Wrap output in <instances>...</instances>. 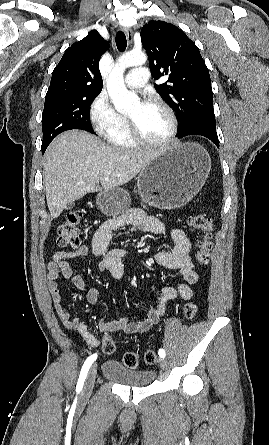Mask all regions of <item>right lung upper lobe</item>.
<instances>
[{
	"instance_id": "cb5924a9",
	"label": "right lung upper lobe",
	"mask_w": 269,
	"mask_h": 445,
	"mask_svg": "<svg viewBox=\"0 0 269 445\" xmlns=\"http://www.w3.org/2000/svg\"><path fill=\"white\" fill-rule=\"evenodd\" d=\"M107 50V42L92 30L69 47L52 73L51 94H97L102 90L99 60Z\"/></svg>"
}]
</instances>
